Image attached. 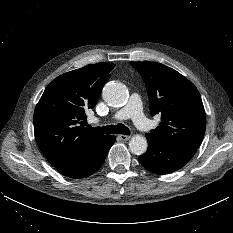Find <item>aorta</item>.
I'll return each mask as SVG.
<instances>
[{"label":"aorta","mask_w":233,"mask_h":233,"mask_svg":"<svg viewBox=\"0 0 233 233\" xmlns=\"http://www.w3.org/2000/svg\"><path fill=\"white\" fill-rule=\"evenodd\" d=\"M103 100L111 106H122L127 101V91L118 82H108L102 91ZM148 147L147 139L142 135H134L129 141L130 151L135 155H142Z\"/></svg>","instance_id":"1"}]
</instances>
